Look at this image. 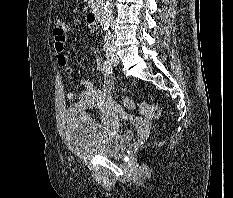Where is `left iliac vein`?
Here are the masks:
<instances>
[{
    "instance_id": "left-iliac-vein-1",
    "label": "left iliac vein",
    "mask_w": 233,
    "mask_h": 198,
    "mask_svg": "<svg viewBox=\"0 0 233 198\" xmlns=\"http://www.w3.org/2000/svg\"><path fill=\"white\" fill-rule=\"evenodd\" d=\"M113 64H114V65H117V64H118V59H117V57L114 58Z\"/></svg>"
}]
</instances>
